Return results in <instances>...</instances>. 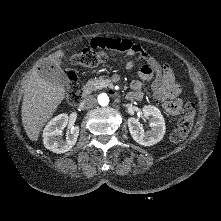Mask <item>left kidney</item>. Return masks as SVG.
<instances>
[{"label": "left kidney", "mask_w": 221, "mask_h": 221, "mask_svg": "<svg viewBox=\"0 0 221 221\" xmlns=\"http://www.w3.org/2000/svg\"><path fill=\"white\" fill-rule=\"evenodd\" d=\"M142 114L149 119L151 130L145 131L137 118L128 119V128L134 141L143 146H151L158 143L165 134V121L160 110L151 105H145Z\"/></svg>", "instance_id": "left-kidney-1"}]
</instances>
